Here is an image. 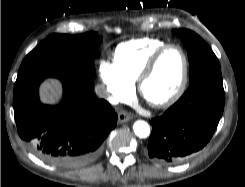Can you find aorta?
I'll use <instances>...</instances> for the list:
<instances>
[{"instance_id": "1", "label": "aorta", "mask_w": 245, "mask_h": 187, "mask_svg": "<svg viewBox=\"0 0 245 187\" xmlns=\"http://www.w3.org/2000/svg\"><path fill=\"white\" fill-rule=\"evenodd\" d=\"M133 131L139 138H146L150 135V127L147 122L138 120L133 125Z\"/></svg>"}]
</instances>
